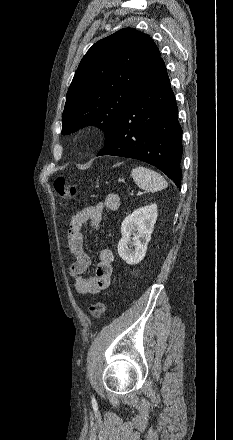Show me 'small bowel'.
<instances>
[{"label":"small bowel","mask_w":233,"mask_h":440,"mask_svg":"<svg viewBox=\"0 0 233 440\" xmlns=\"http://www.w3.org/2000/svg\"><path fill=\"white\" fill-rule=\"evenodd\" d=\"M119 205V196L110 193L103 201L82 209L71 219L68 230V253L73 258V262L69 267V275L74 281L75 291L79 294H97L110 285L114 254L108 248L100 251L95 274L85 276L91 265V259L84 250L82 229L84 224L89 223L95 230H98L105 211H115Z\"/></svg>","instance_id":"small-bowel-1"}]
</instances>
